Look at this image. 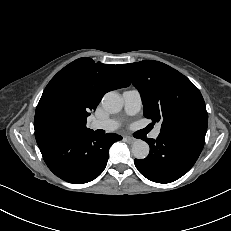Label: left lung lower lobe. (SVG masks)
<instances>
[{"label": "left lung lower lobe", "instance_id": "obj_1", "mask_svg": "<svg viewBox=\"0 0 231 231\" xmlns=\"http://www.w3.org/2000/svg\"><path fill=\"white\" fill-rule=\"evenodd\" d=\"M144 140L150 146V153L145 159H135V166L147 179L165 184L192 168L203 149L205 133L178 130L160 133L156 141Z\"/></svg>", "mask_w": 231, "mask_h": 231}]
</instances>
